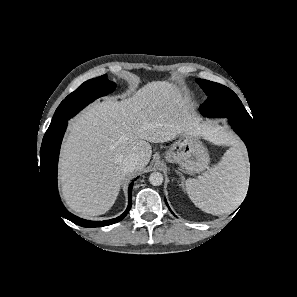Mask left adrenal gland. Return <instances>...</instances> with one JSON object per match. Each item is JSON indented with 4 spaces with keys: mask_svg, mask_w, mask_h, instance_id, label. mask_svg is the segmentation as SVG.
Returning <instances> with one entry per match:
<instances>
[{
    "mask_svg": "<svg viewBox=\"0 0 297 297\" xmlns=\"http://www.w3.org/2000/svg\"><path fill=\"white\" fill-rule=\"evenodd\" d=\"M176 172L181 176L182 182H181L180 186H182L183 191L185 192V188H184V180H185V178H184V176L179 171H176Z\"/></svg>",
    "mask_w": 297,
    "mask_h": 297,
    "instance_id": "left-adrenal-gland-1",
    "label": "left adrenal gland"
}]
</instances>
